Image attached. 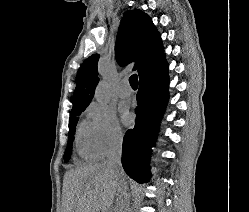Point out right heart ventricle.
Segmentation results:
<instances>
[{
  "label": "right heart ventricle",
  "mask_w": 249,
  "mask_h": 212,
  "mask_svg": "<svg viewBox=\"0 0 249 212\" xmlns=\"http://www.w3.org/2000/svg\"><path fill=\"white\" fill-rule=\"evenodd\" d=\"M90 133V125L86 122H81L76 129L74 144L75 149L81 158L94 160L97 157L91 142Z\"/></svg>",
  "instance_id": "right-heart-ventricle-1"
}]
</instances>
